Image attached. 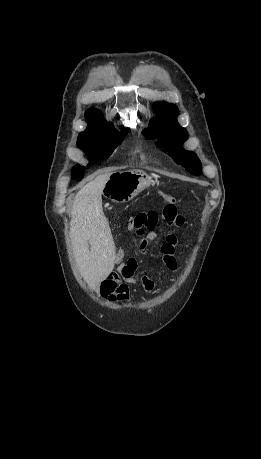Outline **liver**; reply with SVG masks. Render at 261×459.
<instances>
[{"instance_id": "1", "label": "liver", "mask_w": 261, "mask_h": 459, "mask_svg": "<svg viewBox=\"0 0 261 459\" xmlns=\"http://www.w3.org/2000/svg\"><path fill=\"white\" fill-rule=\"evenodd\" d=\"M112 173V170L101 171L83 186L71 210L70 236L75 261L95 291L115 265L116 248L102 209L103 188Z\"/></svg>"}]
</instances>
